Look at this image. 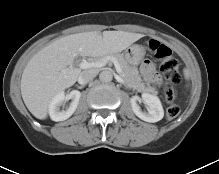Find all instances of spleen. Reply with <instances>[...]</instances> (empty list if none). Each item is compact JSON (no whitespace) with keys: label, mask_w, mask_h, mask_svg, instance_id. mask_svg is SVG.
Listing matches in <instances>:
<instances>
[{"label":"spleen","mask_w":219,"mask_h":174,"mask_svg":"<svg viewBox=\"0 0 219 174\" xmlns=\"http://www.w3.org/2000/svg\"><path fill=\"white\" fill-rule=\"evenodd\" d=\"M184 74H185V77H186V78H188V77H189V75H188V72H187V71H185V73H184Z\"/></svg>","instance_id":"obj_1"}]
</instances>
